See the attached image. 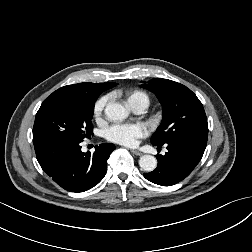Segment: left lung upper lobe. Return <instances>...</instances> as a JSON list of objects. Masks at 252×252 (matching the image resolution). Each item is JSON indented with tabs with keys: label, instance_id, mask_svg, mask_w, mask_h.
<instances>
[{
	"label": "left lung upper lobe",
	"instance_id": "5c2ea615",
	"mask_svg": "<svg viewBox=\"0 0 252 252\" xmlns=\"http://www.w3.org/2000/svg\"><path fill=\"white\" fill-rule=\"evenodd\" d=\"M141 87L156 94L163 107V119L151 137L153 145H163L187 137L207 141L208 123L202 103L186 86L155 78Z\"/></svg>",
	"mask_w": 252,
	"mask_h": 252
}]
</instances>
